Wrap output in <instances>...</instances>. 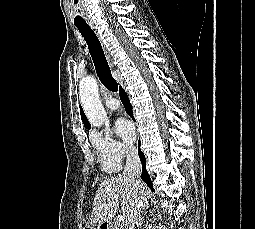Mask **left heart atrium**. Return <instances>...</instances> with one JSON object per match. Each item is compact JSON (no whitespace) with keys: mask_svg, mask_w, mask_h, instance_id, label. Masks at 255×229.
<instances>
[{"mask_svg":"<svg viewBox=\"0 0 255 229\" xmlns=\"http://www.w3.org/2000/svg\"><path fill=\"white\" fill-rule=\"evenodd\" d=\"M115 132L127 143L133 142L136 136L133 124L125 118H119L116 121Z\"/></svg>","mask_w":255,"mask_h":229,"instance_id":"1","label":"left heart atrium"}]
</instances>
